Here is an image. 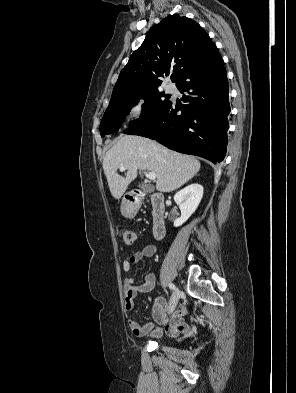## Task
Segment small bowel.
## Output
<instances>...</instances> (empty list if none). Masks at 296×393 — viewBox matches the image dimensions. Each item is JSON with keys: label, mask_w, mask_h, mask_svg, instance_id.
Segmentation results:
<instances>
[{"label": "small bowel", "mask_w": 296, "mask_h": 393, "mask_svg": "<svg viewBox=\"0 0 296 393\" xmlns=\"http://www.w3.org/2000/svg\"><path fill=\"white\" fill-rule=\"evenodd\" d=\"M157 252L156 245L150 244L144 246L142 249L136 251L123 262V271L129 274L131 266L140 262L141 260L149 257H153ZM155 285V275L148 273L145 275L144 282L137 284L133 277L128 276L125 279L124 289V306L128 312H132L134 309V298L139 293H146L153 289ZM174 311V310H173ZM170 311L167 301L163 297H155L152 306V316L155 322L160 324L162 327H155L152 322L145 324H139L132 317L128 319V324L136 336H143L150 334L152 336H160L164 331L169 335H175L179 332H186L189 329L188 323L185 322V309L181 307L176 311ZM167 313H170V317L167 318Z\"/></svg>", "instance_id": "small-bowel-1"}]
</instances>
